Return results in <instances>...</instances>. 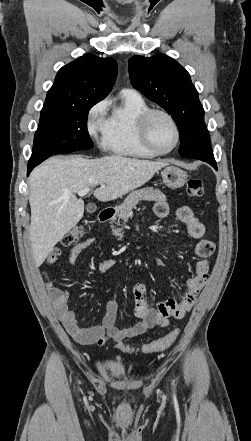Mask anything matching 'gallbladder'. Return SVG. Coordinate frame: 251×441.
Returning <instances> with one entry per match:
<instances>
[{
    "mask_svg": "<svg viewBox=\"0 0 251 441\" xmlns=\"http://www.w3.org/2000/svg\"><path fill=\"white\" fill-rule=\"evenodd\" d=\"M96 209H97V207L95 204L90 203L87 205V211L89 213H94L96 211Z\"/></svg>",
    "mask_w": 251,
    "mask_h": 441,
    "instance_id": "gallbladder-1",
    "label": "gallbladder"
}]
</instances>
